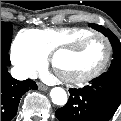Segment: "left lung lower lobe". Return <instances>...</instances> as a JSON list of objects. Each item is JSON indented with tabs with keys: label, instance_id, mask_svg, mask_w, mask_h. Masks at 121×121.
Returning <instances> with one entry per match:
<instances>
[{
	"label": "left lung lower lobe",
	"instance_id": "obj_1",
	"mask_svg": "<svg viewBox=\"0 0 121 121\" xmlns=\"http://www.w3.org/2000/svg\"><path fill=\"white\" fill-rule=\"evenodd\" d=\"M60 121H109L121 103V72L108 71L82 89H70Z\"/></svg>",
	"mask_w": 121,
	"mask_h": 121
}]
</instances>
